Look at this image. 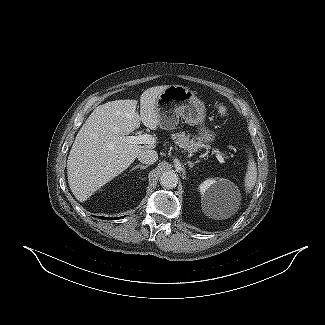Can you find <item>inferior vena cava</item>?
<instances>
[{"label": "inferior vena cava", "instance_id": "602c4592", "mask_svg": "<svg viewBox=\"0 0 325 325\" xmlns=\"http://www.w3.org/2000/svg\"><path fill=\"white\" fill-rule=\"evenodd\" d=\"M158 159V154L156 151L148 149L142 150L138 155V160L143 164H154Z\"/></svg>", "mask_w": 325, "mask_h": 325}]
</instances>
